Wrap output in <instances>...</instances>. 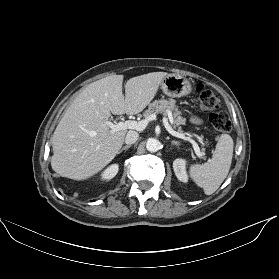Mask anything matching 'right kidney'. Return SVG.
<instances>
[{"label": "right kidney", "mask_w": 279, "mask_h": 279, "mask_svg": "<svg viewBox=\"0 0 279 279\" xmlns=\"http://www.w3.org/2000/svg\"><path fill=\"white\" fill-rule=\"evenodd\" d=\"M119 166L118 164H112L109 167H107L102 173H101V180L108 181L116 176L118 173Z\"/></svg>", "instance_id": "ca27d5eb"}]
</instances>
